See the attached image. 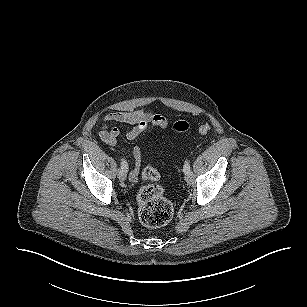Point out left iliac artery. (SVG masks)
I'll list each match as a JSON object with an SVG mask.
<instances>
[{
  "instance_id": "1",
  "label": "left iliac artery",
  "mask_w": 307,
  "mask_h": 307,
  "mask_svg": "<svg viewBox=\"0 0 307 307\" xmlns=\"http://www.w3.org/2000/svg\"><path fill=\"white\" fill-rule=\"evenodd\" d=\"M188 170H190V162H189V160H186V161L184 162L183 171H184V173H185V172H187Z\"/></svg>"
}]
</instances>
